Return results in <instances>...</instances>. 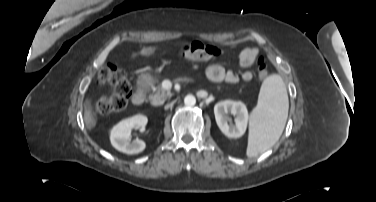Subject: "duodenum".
Instances as JSON below:
<instances>
[{"label":"duodenum","instance_id":"duodenum-1","mask_svg":"<svg viewBox=\"0 0 376 202\" xmlns=\"http://www.w3.org/2000/svg\"><path fill=\"white\" fill-rule=\"evenodd\" d=\"M145 99V86L144 83L139 82L136 91L133 93L131 101L133 105L139 106L144 102Z\"/></svg>","mask_w":376,"mask_h":202}]
</instances>
